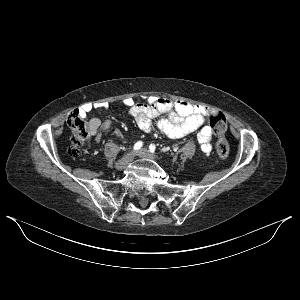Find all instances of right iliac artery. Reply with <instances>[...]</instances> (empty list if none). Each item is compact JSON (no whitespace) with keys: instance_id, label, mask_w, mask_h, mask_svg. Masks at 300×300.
<instances>
[{"instance_id":"right-iliac-artery-1","label":"right iliac artery","mask_w":300,"mask_h":300,"mask_svg":"<svg viewBox=\"0 0 300 300\" xmlns=\"http://www.w3.org/2000/svg\"><path fill=\"white\" fill-rule=\"evenodd\" d=\"M142 146H143V142L138 141V142L134 145L133 149H134V151H138Z\"/></svg>"}]
</instances>
